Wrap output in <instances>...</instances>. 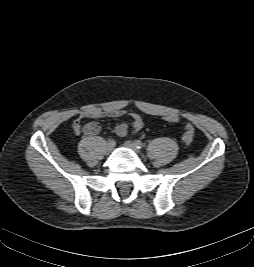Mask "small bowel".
<instances>
[{"label":"small bowel","instance_id":"obj_1","mask_svg":"<svg viewBox=\"0 0 254 267\" xmlns=\"http://www.w3.org/2000/svg\"><path fill=\"white\" fill-rule=\"evenodd\" d=\"M127 113L125 110L121 109H93L81 112L78 117L74 120L72 126L73 130L76 134H80L83 132L88 136H95L100 131V126L96 122H90L84 126H82V120L86 118L98 119V118H119L125 116ZM129 117L131 119V126L129 127L126 123H121L116 126L115 133L124 137L131 134L138 133L143 127V120L140 115L136 113H130Z\"/></svg>","mask_w":254,"mask_h":267}]
</instances>
